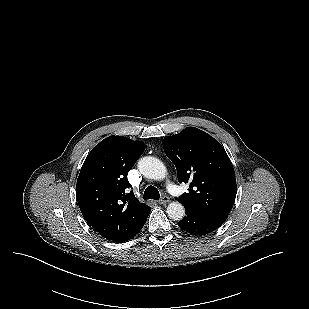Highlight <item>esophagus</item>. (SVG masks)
Masks as SVG:
<instances>
[{
  "label": "esophagus",
  "mask_w": 309,
  "mask_h": 309,
  "mask_svg": "<svg viewBox=\"0 0 309 309\" xmlns=\"http://www.w3.org/2000/svg\"><path fill=\"white\" fill-rule=\"evenodd\" d=\"M170 202V198L166 195L162 196L161 199L158 200L159 204H166Z\"/></svg>",
  "instance_id": "obj_1"
}]
</instances>
